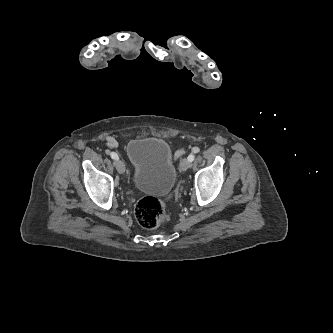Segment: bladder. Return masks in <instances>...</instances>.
I'll return each instance as SVG.
<instances>
[{"mask_svg": "<svg viewBox=\"0 0 333 333\" xmlns=\"http://www.w3.org/2000/svg\"><path fill=\"white\" fill-rule=\"evenodd\" d=\"M126 153L133 166V182L141 191L165 194L176 183L177 173L168 143L157 137L135 138Z\"/></svg>", "mask_w": 333, "mask_h": 333, "instance_id": "31cf9c89", "label": "bladder"}]
</instances>
